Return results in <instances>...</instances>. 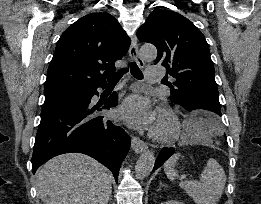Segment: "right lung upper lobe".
<instances>
[{"label": "right lung upper lobe", "instance_id": "cb5924a9", "mask_svg": "<svg viewBox=\"0 0 261 204\" xmlns=\"http://www.w3.org/2000/svg\"><path fill=\"white\" fill-rule=\"evenodd\" d=\"M129 45V37L112 15L91 13L80 18L57 42L47 72L45 95L106 82Z\"/></svg>", "mask_w": 261, "mask_h": 204}]
</instances>
